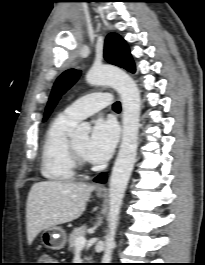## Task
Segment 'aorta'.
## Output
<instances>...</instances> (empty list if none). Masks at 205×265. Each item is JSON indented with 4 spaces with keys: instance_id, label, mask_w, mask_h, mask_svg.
Instances as JSON below:
<instances>
[{
    "instance_id": "aorta-1",
    "label": "aorta",
    "mask_w": 205,
    "mask_h": 265,
    "mask_svg": "<svg viewBox=\"0 0 205 265\" xmlns=\"http://www.w3.org/2000/svg\"><path fill=\"white\" fill-rule=\"evenodd\" d=\"M86 80L91 85L112 86L119 93L123 108L122 140L110 178L109 232L105 237V249L102 257V263H110L122 201L136 162L141 112L140 91L132 77L113 66L92 67L86 75ZM89 130L88 123H81L76 129L75 135L87 137Z\"/></svg>"
}]
</instances>
